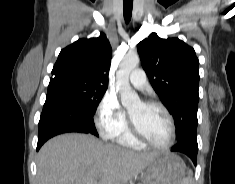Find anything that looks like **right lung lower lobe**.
Wrapping results in <instances>:
<instances>
[{
	"mask_svg": "<svg viewBox=\"0 0 235 184\" xmlns=\"http://www.w3.org/2000/svg\"><path fill=\"white\" fill-rule=\"evenodd\" d=\"M67 132L90 133L98 136L93 115L72 100L48 92L38 125L37 151L50 138Z\"/></svg>",
	"mask_w": 235,
	"mask_h": 184,
	"instance_id": "obj_1",
	"label": "right lung lower lobe"
}]
</instances>
